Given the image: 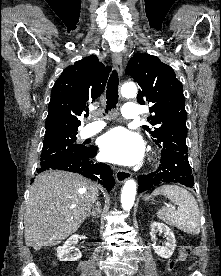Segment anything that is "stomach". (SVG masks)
<instances>
[{
	"instance_id": "obj_1",
	"label": "stomach",
	"mask_w": 221,
	"mask_h": 276,
	"mask_svg": "<svg viewBox=\"0 0 221 276\" xmlns=\"http://www.w3.org/2000/svg\"><path fill=\"white\" fill-rule=\"evenodd\" d=\"M149 198H150V197L147 196V197L144 198V200H149Z\"/></svg>"
}]
</instances>
